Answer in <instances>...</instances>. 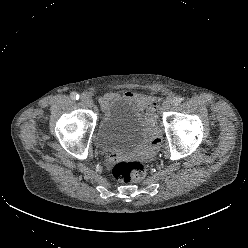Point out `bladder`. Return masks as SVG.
<instances>
[{"label": "bladder", "mask_w": 248, "mask_h": 248, "mask_svg": "<svg viewBox=\"0 0 248 248\" xmlns=\"http://www.w3.org/2000/svg\"><path fill=\"white\" fill-rule=\"evenodd\" d=\"M151 122L144 108L126 96H118L105 108L95 133L97 146L105 151H134L150 140Z\"/></svg>", "instance_id": "1"}]
</instances>
